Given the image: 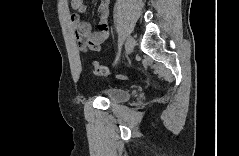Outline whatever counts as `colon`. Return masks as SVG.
Here are the masks:
<instances>
[{
  "label": "colon",
  "instance_id": "5ec220e1",
  "mask_svg": "<svg viewBox=\"0 0 239 156\" xmlns=\"http://www.w3.org/2000/svg\"><path fill=\"white\" fill-rule=\"evenodd\" d=\"M91 67L93 68L95 73L99 76L107 77L112 74V72L109 68H107L106 66L100 65L98 62H95V61L92 62ZM116 77H118L120 79H127V76H125L123 74H117Z\"/></svg>",
  "mask_w": 239,
  "mask_h": 156
}]
</instances>
